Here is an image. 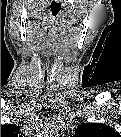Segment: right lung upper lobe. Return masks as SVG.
<instances>
[{"label": "right lung upper lobe", "instance_id": "obj_1", "mask_svg": "<svg viewBox=\"0 0 121 137\" xmlns=\"http://www.w3.org/2000/svg\"><path fill=\"white\" fill-rule=\"evenodd\" d=\"M16 125H12V124H9V125H3V126H1V133L2 132H9V127H12L13 129H14V127H15ZM12 128H10V129H12ZM17 128V127H16Z\"/></svg>", "mask_w": 121, "mask_h": 137}]
</instances>
